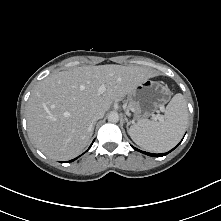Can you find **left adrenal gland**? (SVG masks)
Masks as SVG:
<instances>
[{
  "mask_svg": "<svg viewBox=\"0 0 221 221\" xmlns=\"http://www.w3.org/2000/svg\"><path fill=\"white\" fill-rule=\"evenodd\" d=\"M125 120H126V123H127V131H129V125H130V123H129V121H128V119L127 118H125Z\"/></svg>",
  "mask_w": 221,
  "mask_h": 221,
  "instance_id": "1",
  "label": "left adrenal gland"
}]
</instances>
